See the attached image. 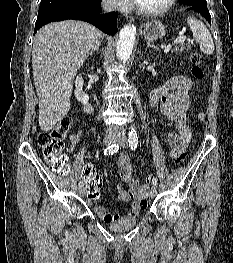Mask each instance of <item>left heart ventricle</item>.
I'll use <instances>...</instances> for the list:
<instances>
[{"label": "left heart ventricle", "instance_id": "1", "mask_svg": "<svg viewBox=\"0 0 233 263\" xmlns=\"http://www.w3.org/2000/svg\"><path fill=\"white\" fill-rule=\"evenodd\" d=\"M168 0H135L138 6L147 10H155L163 7Z\"/></svg>", "mask_w": 233, "mask_h": 263}]
</instances>
